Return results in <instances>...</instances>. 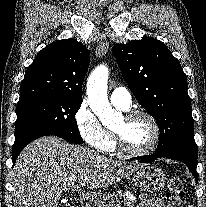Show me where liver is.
Returning <instances> with one entry per match:
<instances>
[{
	"mask_svg": "<svg viewBox=\"0 0 206 207\" xmlns=\"http://www.w3.org/2000/svg\"><path fill=\"white\" fill-rule=\"evenodd\" d=\"M141 164L114 161L56 136L34 140L20 153L12 173L15 207H58L62 194L87 183L106 188L133 174Z\"/></svg>",
	"mask_w": 206,
	"mask_h": 207,
	"instance_id": "obj_1",
	"label": "liver"
}]
</instances>
